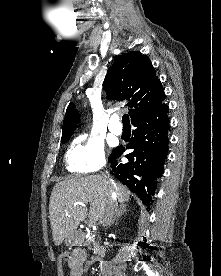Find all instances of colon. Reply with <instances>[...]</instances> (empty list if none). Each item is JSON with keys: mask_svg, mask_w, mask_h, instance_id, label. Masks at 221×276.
<instances>
[{"mask_svg": "<svg viewBox=\"0 0 221 276\" xmlns=\"http://www.w3.org/2000/svg\"><path fill=\"white\" fill-rule=\"evenodd\" d=\"M70 258H71V255H70L67 251H62V252L59 254V259H60V261H62V262H69V261H70Z\"/></svg>", "mask_w": 221, "mask_h": 276, "instance_id": "colon-1", "label": "colon"}]
</instances>
